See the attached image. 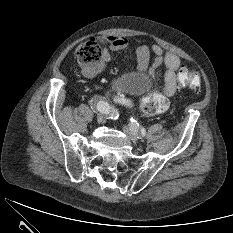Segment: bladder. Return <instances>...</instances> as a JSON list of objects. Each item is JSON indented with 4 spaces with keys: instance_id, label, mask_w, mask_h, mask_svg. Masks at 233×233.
<instances>
[{
    "instance_id": "obj_1",
    "label": "bladder",
    "mask_w": 233,
    "mask_h": 233,
    "mask_svg": "<svg viewBox=\"0 0 233 233\" xmlns=\"http://www.w3.org/2000/svg\"><path fill=\"white\" fill-rule=\"evenodd\" d=\"M151 86L150 79L143 73L123 74L113 83L115 91L127 94L140 95L146 92Z\"/></svg>"
}]
</instances>
